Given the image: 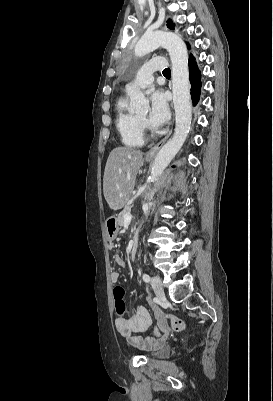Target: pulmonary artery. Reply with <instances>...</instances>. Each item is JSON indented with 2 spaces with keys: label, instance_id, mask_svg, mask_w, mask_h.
Segmentation results:
<instances>
[{
  "label": "pulmonary artery",
  "instance_id": "pulmonary-artery-1",
  "mask_svg": "<svg viewBox=\"0 0 273 401\" xmlns=\"http://www.w3.org/2000/svg\"><path fill=\"white\" fill-rule=\"evenodd\" d=\"M168 60L163 57H152L150 63H145L143 68L139 69L138 74L140 77L139 87L141 89H146L148 83H152L154 80L153 71H159L161 66L166 65Z\"/></svg>",
  "mask_w": 273,
  "mask_h": 401
}]
</instances>
